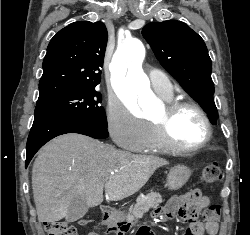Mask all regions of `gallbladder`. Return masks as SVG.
Listing matches in <instances>:
<instances>
[{
	"instance_id": "bac80fb5",
	"label": "gallbladder",
	"mask_w": 250,
	"mask_h": 235,
	"mask_svg": "<svg viewBox=\"0 0 250 235\" xmlns=\"http://www.w3.org/2000/svg\"><path fill=\"white\" fill-rule=\"evenodd\" d=\"M88 209L89 207L85 198L82 196H76L68 206V213L65 219L68 222L77 221L87 213Z\"/></svg>"
}]
</instances>
